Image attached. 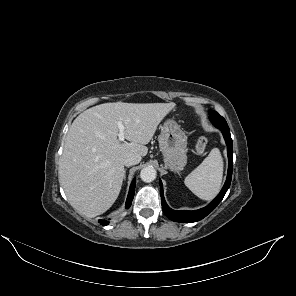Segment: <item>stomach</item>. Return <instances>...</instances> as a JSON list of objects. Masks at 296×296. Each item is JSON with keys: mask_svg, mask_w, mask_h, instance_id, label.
Segmentation results:
<instances>
[{"mask_svg": "<svg viewBox=\"0 0 296 296\" xmlns=\"http://www.w3.org/2000/svg\"><path fill=\"white\" fill-rule=\"evenodd\" d=\"M159 147L167 168L181 171L187 163V137L180 126L171 119L164 122L159 136Z\"/></svg>", "mask_w": 296, "mask_h": 296, "instance_id": "obj_1", "label": "stomach"}]
</instances>
